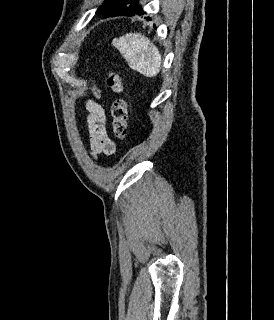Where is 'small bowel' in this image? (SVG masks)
<instances>
[{
    "label": "small bowel",
    "instance_id": "1",
    "mask_svg": "<svg viewBox=\"0 0 274 320\" xmlns=\"http://www.w3.org/2000/svg\"><path fill=\"white\" fill-rule=\"evenodd\" d=\"M93 89L99 95V90L95 86H93ZM85 109L87 114L84 122L90 142L91 155L97 157L101 154H113L115 144L107 134L105 110L94 100L86 101Z\"/></svg>",
    "mask_w": 274,
    "mask_h": 320
}]
</instances>
